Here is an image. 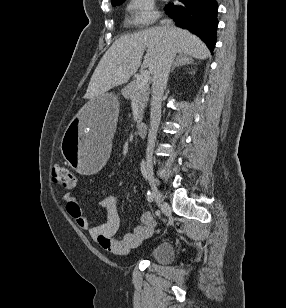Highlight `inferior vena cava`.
<instances>
[{"instance_id": "inferior-vena-cava-1", "label": "inferior vena cava", "mask_w": 286, "mask_h": 308, "mask_svg": "<svg viewBox=\"0 0 286 308\" xmlns=\"http://www.w3.org/2000/svg\"><path fill=\"white\" fill-rule=\"evenodd\" d=\"M161 24L166 29H172L170 21H162ZM176 56V49L172 42L168 43L163 56L153 71L152 78V99L150 113V129L148 134L147 158L150 159L155 145L157 131L161 119V102L164 90L166 89L171 65Z\"/></svg>"}]
</instances>
